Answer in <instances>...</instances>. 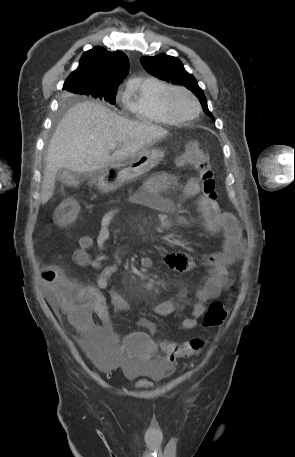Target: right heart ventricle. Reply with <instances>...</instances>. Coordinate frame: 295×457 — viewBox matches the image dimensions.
Here are the masks:
<instances>
[{
    "mask_svg": "<svg viewBox=\"0 0 295 457\" xmlns=\"http://www.w3.org/2000/svg\"><path fill=\"white\" fill-rule=\"evenodd\" d=\"M171 85L155 77L131 81L123 95L126 110L137 120L157 124H176L165 109L162 95Z\"/></svg>",
    "mask_w": 295,
    "mask_h": 457,
    "instance_id": "e07e8e85",
    "label": "right heart ventricle"
}]
</instances>
